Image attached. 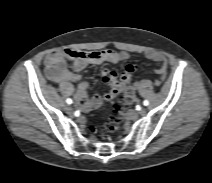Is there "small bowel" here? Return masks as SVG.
<instances>
[{
    "instance_id": "c3829d8e",
    "label": "small bowel",
    "mask_w": 212,
    "mask_h": 183,
    "mask_svg": "<svg viewBox=\"0 0 212 183\" xmlns=\"http://www.w3.org/2000/svg\"><path fill=\"white\" fill-rule=\"evenodd\" d=\"M145 56L151 61L161 63L156 72L164 77L167 72V64L164 56L160 52L156 51H149L145 54ZM129 58L130 54L128 52L115 51L111 49L91 52L64 49L55 51L46 57V73L48 78L56 83L66 81L77 82L81 77L76 72L84 69L90 64H118L122 61L128 60ZM68 60L71 61L70 65L67 62ZM134 70L135 67L129 64L122 71L120 77L118 72L115 70H102V79L110 86V91L105 94L104 99L111 100L122 92L130 83ZM87 88V82H81L77 86V98L80 101V106L84 109L89 108L91 105H99L101 101V97L97 95L94 96L90 102L86 101Z\"/></svg>"
}]
</instances>
